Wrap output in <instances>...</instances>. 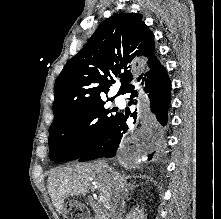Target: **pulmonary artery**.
<instances>
[{"label":"pulmonary artery","mask_w":221,"mask_h":219,"mask_svg":"<svg viewBox=\"0 0 221 219\" xmlns=\"http://www.w3.org/2000/svg\"><path fill=\"white\" fill-rule=\"evenodd\" d=\"M116 103L121 104L122 103V99L121 98H116Z\"/></svg>","instance_id":"1"}]
</instances>
